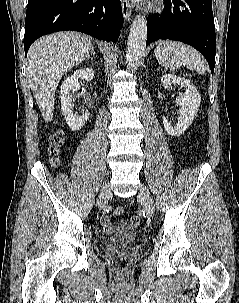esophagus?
Returning <instances> with one entry per match:
<instances>
[{
	"label": "esophagus",
	"instance_id": "1",
	"mask_svg": "<svg viewBox=\"0 0 239 303\" xmlns=\"http://www.w3.org/2000/svg\"><path fill=\"white\" fill-rule=\"evenodd\" d=\"M123 17L126 21H129L131 18V6L128 0H121Z\"/></svg>",
	"mask_w": 239,
	"mask_h": 303
}]
</instances>
